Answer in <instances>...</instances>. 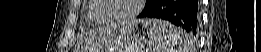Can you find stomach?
Masks as SVG:
<instances>
[{"instance_id":"1","label":"stomach","mask_w":261,"mask_h":52,"mask_svg":"<svg viewBox=\"0 0 261 52\" xmlns=\"http://www.w3.org/2000/svg\"><path fill=\"white\" fill-rule=\"evenodd\" d=\"M143 45V40L139 37H134L127 43L115 47V52H141V46Z\"/></svg>"}]
</instances>
